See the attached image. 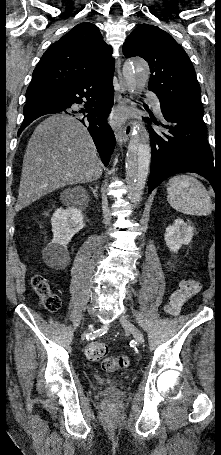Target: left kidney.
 I'll return each instance as SVG.
<instances>
[{
	"mask_svg": "<svg viewBox=\"0 0 221 455\" xmlns=\"http://www.w3.org/2000/svg\"><path fill=\"white\" fill-rule=\"evenodd\" d=\"M192 238L193 227L180 218L166 228L164 236L166 245L172 252H177L183 244L188 245Z\"/></svg>",
	"mask_w": 221,
	"mask_h": 455,
	"instance_id": "5707ae66",
	"label": "left kidney"
}]
</instances>
